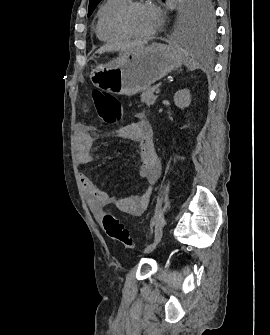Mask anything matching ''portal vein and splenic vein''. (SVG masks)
Here are the masks:
<instances>
[{"label": "portal vein and splenic vein", "instance_id": "obj_1", "mask_svg": "<svg viewBox=\"0 0 270 335\" xmlns=\"http://www.w3.org/2000/svg\"><path fill=\"white\" fill-rule=\"evenodd\" d=\"M158 89H160V88H158ZM156 92H160V91H156ZM156 95H158V94H156Z\"/></svg>", "mask_w": 270, "mask_h": 335}]
</instances>
